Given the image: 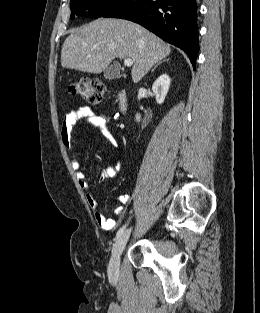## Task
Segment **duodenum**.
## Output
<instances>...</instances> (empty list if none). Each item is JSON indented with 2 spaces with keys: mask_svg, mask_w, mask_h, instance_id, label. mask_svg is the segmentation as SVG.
Instances as JSON below:
<instances>
[{
  "mask_svg": "<svg viewBox=\"0 0 260 313\" xmlns=\"http://www.w3.org/2000/svg\"><path fill=\"white\" fill-rule=\"evenodd\" d=\"M117 103L119 111L125 113L128 109V95L126 90L122 89L118 92Z\"/></svg>",
  "mask_w": 260,
  "mask_h": 313,
  "instance_id": "410a0bca",
  "label": "duodenum"
}]
</instances>
